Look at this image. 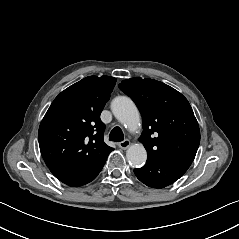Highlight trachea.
Here are the masks:
<instances>
[{"label":"trachea","instance_id":"obj_1","mask_svg":"<svg viewBox=\"0 0 239 239\" xmlns=\"http://www.w3.org/2000/svg\"><path fill=\"white\" fill-rule=\"evenodd\" d=\"M109 140L113 142H121L124 140V134L120 127L116 126L109 134Z\"/></svg>","mask_w":239,"mask_h":239}]
</instances>
